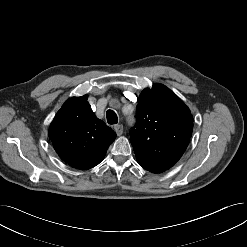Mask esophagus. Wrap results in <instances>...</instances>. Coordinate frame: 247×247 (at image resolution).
<instances>
[{"mask_svg": "<svg viewBox=\"0 0 247 247\" xmlns=\"http://www.w3.org/2000/svg\"><path fill=\"white\" fill-rule=\"evenodd\" d=\"M114 130L118 136L122 135L123 133V125L122 124H117L114 126Z\"/></svg>", "mask_w": 247, "mask_h": 247, "instance_id": "esophagus-1", "label": "esophagus"}]
</instances>
